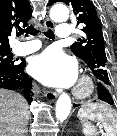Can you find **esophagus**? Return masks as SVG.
<instances>
[{
    "label": "esophagus",
    "instance_id": "34e87169",
    "mask_svg": "<svg viewBox=\"0 0 117 136\" xmlns=\"http://www.w3.org/2000/svg\"><path fill=\"white\" fill-rule=\"evenodd\" d=\"M54 27H55V24H54V22H53L52 20L46 19V20L44 21V28H45L46 30H48V29H53ZM57 96H58V93H57V92H53V91H46V92H45V97H46V99H47L48 101H50V102L55 101L56 98H57Z\"/></svg>",
    "mask_w": 117,
    "mask_h": 136
}]
</instances>
